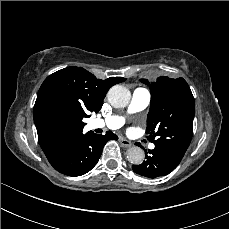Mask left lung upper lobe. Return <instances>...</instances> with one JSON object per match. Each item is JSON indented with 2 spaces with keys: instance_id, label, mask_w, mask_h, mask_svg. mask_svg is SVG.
<instances>
[{
  "instance_id": "left-lung-upper-lobe-1",
  "label": "left lung upper lobe",
  "mask_w": 229,
  "mask_h": 229,
  "mask_svg": "<svg viewBox=\"0 0 229 229\" xmlns=\"http://www.w3.org/2000/svg\"><path fill=\"white\" fill-rule=\"evenodd\" d=\"M140 81L148 85L151 92L146 133L172 160L180 162L193 135L195 102L190 87L181 77L161 76L152 83L147 79Z\"/></svg>"
}]
</instances>
